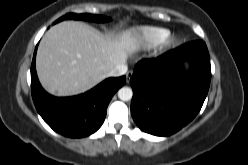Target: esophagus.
I'll return each mask as SVG.
<instances>
[{"label":"esophagus","instance_id":"obj_1","mask_svg":"<svg viewBox=\"0 0 248 165\" xmlns=\"http://www.w3.org/2000/svg\"><path fill=\"white\" fill-rule=\"evenodd\" d=\"M132 74H133L132 71H128V72H127V74H126V78H127L126 82H127V83L129 82L130 78L132 77Z\"/></svg>","mask_w":248,"mask_h":165}]
</instances>
